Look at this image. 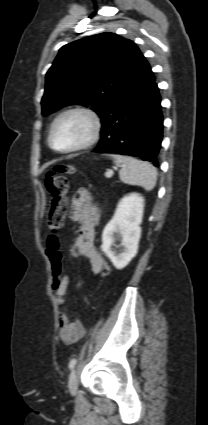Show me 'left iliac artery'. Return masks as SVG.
<instances>
[{"instance_id": "1", "label": "left iliac artery", "mask_w": 208, "mask_h": 425, "mask_svg": "<svg viewBox=\"0 0 208 425\" xmlns=\"http://www.w3.org/2000/svg\"><path fill=\"white\" fill-rule=\"evenodd\" d=\"M75 364H76V359L75 358L71 359L69 362V368L73 369L75 367Z\"/></svg>"}]
</instances>
